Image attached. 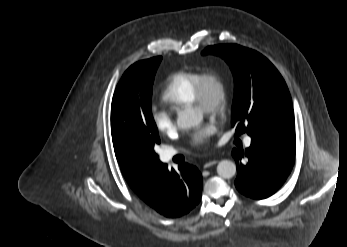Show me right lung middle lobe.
Wrapping results in <instances>:
<instances>
[{"instance_id": "right-lung-middle-lobe-1", "label": "right lung middle lobe", "mask_w": 347, "mask_h": 247, "mask_svg": "<svg viewBox=\"0 0 347 247\" xmlns=\"http://www.w3.org/2000/svg\"><path fill=\"white\" fill-rule=\"evenodd\" d=\"M161 57L136 62L126 70L111 105V134L114 144L149 163L159 161L155 146L160 143L151 112L152 85Z\"/></svg>"}]
</instances>
